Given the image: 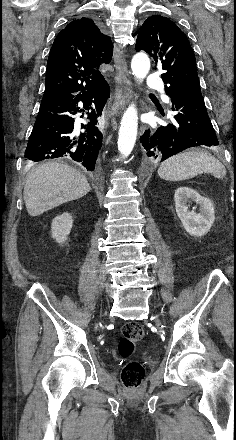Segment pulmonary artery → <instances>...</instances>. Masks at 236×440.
Listing matches in <instances>:
<instances>
[{
    "mask_svg": "<svg viewBox=\"0 0 236 440\" xmlns=\"http://www.w3.org/2000/svg\"><path fill=\"white\" fill-rule=\"evenodd\" d=\"M146 85L150 89L161 90L163 87V81L158 76L151 74L150 77L146 81ZM165 100H168V98L165 97Z\"/></svg>",
    "mask_w": 236,
    "mask_h": 440,
    "instance_id": "1",
    "label": "pulmonary artery"
}]
</instances>
